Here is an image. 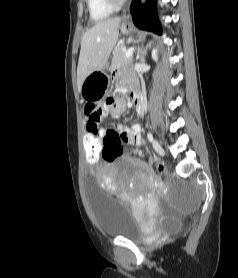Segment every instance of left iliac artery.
<instances>
[{
  "label": "left iliac artery",
  "instance_id": "1",
  "mask_svg": "<svg viewBox=\"0 0 238 278\" xmlns=\"http://www.w3.org/2000/svg\"><path fill=\"white\" fill-rule=\"evenodd\" d=\"M147 137L150 142L153 141V135L150 132L147 133Z\"/></svg>",
  "mask_w": 238,
  "mask_h": 278
}]
</instances>
